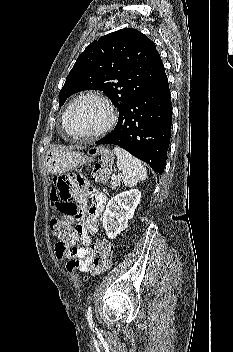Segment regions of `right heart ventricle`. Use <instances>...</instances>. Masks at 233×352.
Returning <instances> with one entry per match:
<instances>
[{
    "instance_id": "1",
    "label": "right heart ventricle",
    "mask_w": 233,
    "mask_h": 352,
    "mask_svg": "<svg viewBox=\"0 0 233 352\" xmlns=\"http://www.w3.org/2000/svg\"><path fill=\"white\" fill-rule=\"evenodd\" d=\"M65 116H66V111L63 113V115H62V127H63V129H64V131L66 132V133H68V131H67V128H66V124H65ZM69 134V133H68Z\"/></svg>"
}]
</instances>
